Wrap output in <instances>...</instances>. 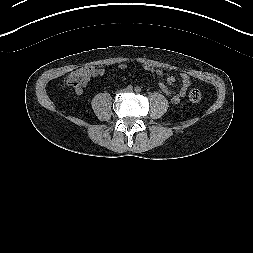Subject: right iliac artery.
Returning a JSON list of instances; mask_svg holds the SVG:
<instances>
[{
  "label": "right iliac artery",
  "mask_w": 253,
  "mask_h": 253,
  "mask_svg": "<svg viewBox=\"0 0 253 253\" xmlns=\"http://www.w3.org/2000/svg\"><path fill=\"white\" fill-rule=\"evenodd\" d=\"M132 88H133L132 85H128V86H127V89H128V90H132Z\"/></svg>",
  "instance_id": "1"
}]
</instances>
